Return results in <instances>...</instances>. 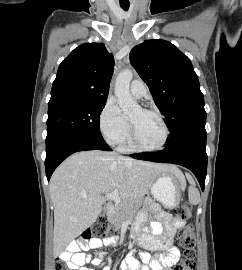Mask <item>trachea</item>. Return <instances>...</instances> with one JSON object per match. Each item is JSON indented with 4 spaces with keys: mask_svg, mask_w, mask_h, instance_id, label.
<instances>
[{
    "mask_svg": "<svg viewBox=\"0 0 242 270\" xmlns=\"http://www.w3.org/2000/svg\"><path fill=\"white\" fill-rule=\"evenodd\" d=\"M121 7H122V9L125 10V11H127V10L129 9V6H122V5H121Z\"/></svg>",
    "mask_w": 242,
    "mask_h": 270,
    "instance_id": "1",
    "label": "trachea"
}]
</instances>
